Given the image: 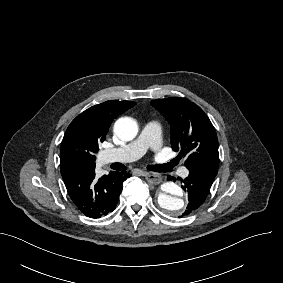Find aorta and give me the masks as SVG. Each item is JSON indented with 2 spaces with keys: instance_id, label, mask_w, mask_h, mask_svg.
Here are the masks:
<instances>
[{
  "instance_id": "aorta-1",
  "label": "aorta",
  "mask_w": 283,
  "mask_h": 283,
  "mask_svg": "<svg viewBox=\"0 0 283 283\" xmlns=\"http://www.w3.org/2000/svg\"><path fill=\"white\" fill-rule=\"evenodd\" d=\"M114 133L123 141L134 139L138 133L136 121L130 117H121L114 124ZM182 189L174 182H165L161 185V192L157 201L159 206L172 215L182 213L185 203L181 198Z\"/></svg>"
}]
</instances>
